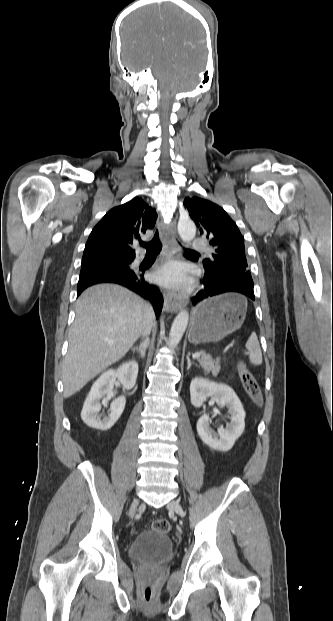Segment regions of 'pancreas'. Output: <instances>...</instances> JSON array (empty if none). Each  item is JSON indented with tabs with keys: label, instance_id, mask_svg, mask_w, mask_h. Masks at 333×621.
I'll use <instances>...</instances> for the list:
<instances>
[{
	"label": "pancreas",
	"instance_id": "pancreas-1",
	"mask_svg": "<svg viewBox=\"0 0 333 621\" xmlns=\"http://www.w3.org/2000/svg\"><path fill=\"white\" fill-rule=\"evenodd\" d=\"M201 357L198 358L200 366L205 372H212L216 376L220 372V359L212 360L211 356L205 354L204 351H200Z\"/></svg>",
	"mask_w": 333,
	"mask_h": 621
}]
</instances>
